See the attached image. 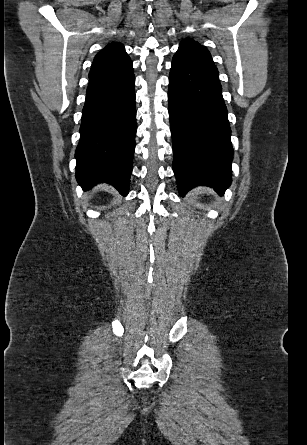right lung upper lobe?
Returning a JSON list of instances; mask_svg holds the SVG:
<instances>
[{
  "label": "right lung upper lobe",
  "instance_id": "cb5924a9",
  "mask_svg": "<svg viewBox=\"0 0 307 445\" xmlns=\"http://www.w3.org/2000/svg\"><path fill=\"white\" fill-rule=\"evenodd\" d=\"M131 62L122 44L116 42L111 43L95 56L89 78L113 73Z\"/></svg>",
  "mask_w": 307,
  "mask_h": 445
}]
</instances>
